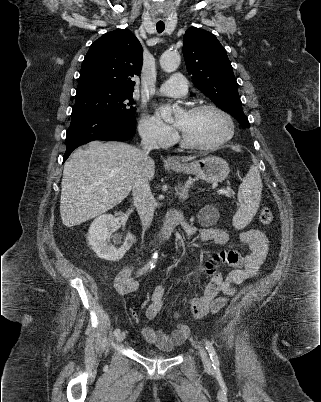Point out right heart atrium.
Listing matches in <instances>:
<instances>
[{
	"label": "right heart atrium",
	"instance_id": "d8ad5b80",
	"mask_svg": "<svg viewBox=\"0 0 321 402\" xmlns=\"http://www.w3.org/2000/svg\"><path fill=\"white\" fill-rule=\"evenodd\" d=\"M139 133L148 143L167 147L175 141L172 129L149 116H143L139 122Z\"/></svg>",
	"mask_w": 321,
	"mask_h": 402
}]
</instances>
